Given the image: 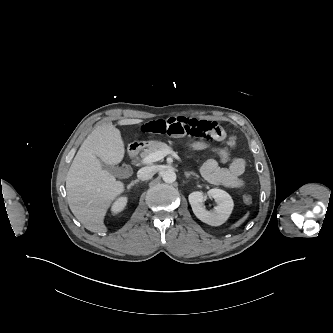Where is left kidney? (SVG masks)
<instances>
[{
	"label": "left kidney",
	"instance_id": "left-kidney-1",
	"mask_svg": "<svg viewBox=\"0 0 333 333\" xmlns=\"http://www.w3.org/2000/svg\"><path fill=\"white\" fill-rule=\"evenodd\" d=\"M208 195L213 197L217 203V206L211 211L205 209L203 204L205 196L202 192H192L188 197L189 203L199 220L211 226H219L230 216L234 206L233 200L227 192L217 188L209 190Z\"/></svg>",
	"mask_w": 333,
	"mask_h": 333
}]
</instances>
